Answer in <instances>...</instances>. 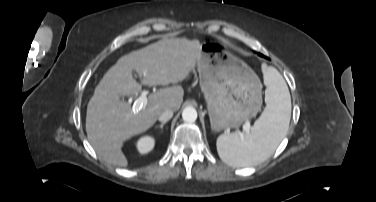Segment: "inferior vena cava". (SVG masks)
Returning a JSON list of instances; mask_svg holds the SVG:
<instances>
[{
    "label": "inferior vena cava",
    "mask_w": 376,
    "mask_h": 202,
    "mask_svg": "<svg viewBox=\"0 0 376 202\" xmlns=\"http://www.w3.org/2000/svg\"><path fill=\"white\" fill-rule=\"evenodd\" d=\"M172 116H173V111L172 110H170V109H167V110H165L159 117H158V120L160 121V122H167V121H169L171 118H172Z\"/></svg>",
    "instance_id": "1"
}]
</instances>
